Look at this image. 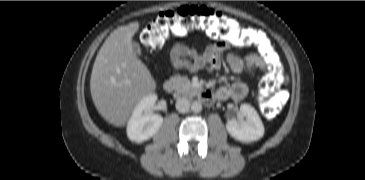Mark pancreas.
<instances>
[{"instance_id": "pancreas-1", "label": "pancreas", "mask_w": 365, "mask_h": 180, "mask_svg": "<svg viewBox=\"0 0 365 180\" xmlns=\"http://www.w3.org/2000/svg\"><path fill=\"white\" fill-rule=\"evenodd\" d=\"M170 81L174 83L175 90L178 94L193 96L198 92V89L192 86L187 77L175 76L171 77Z\"/></svg>"}]
</instances>
